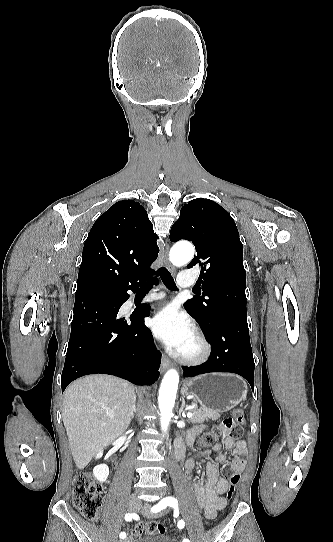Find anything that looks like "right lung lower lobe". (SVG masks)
I'll return each instance as SVG.
<instances>
[{
  "mask_svg": "<svg viewBox=\"0 0 333 542\" xmlns=\"http://www.w3.org/2000/svg\"><path fill=\"white\" fill-rule=\"evenodd\" d=\"M113 257L110 251L92 248L83 252L81 265L100 267ZM153 273L149 267L140 282L125 289L76 291L62 391L73 380L88 374H111L136 385H151L158 379L161 353L144 324L150 306L143 304L130 318H118L121 305L129 298L127 291L135 292ZM153 282L158 283L156 279Z\"/></svg>",
  "mask_w": 333,
  "mask_h": 542,
  "instance_id": "right-lung-lower-lobe-1",
  "label": "right lung lower lobe"
}]
</instances>
